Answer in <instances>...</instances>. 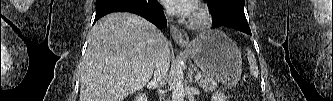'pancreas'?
I'll return each instance as SVG.
<instances>
[{
	"label": "pancreas",
	"mask_w": 333,
	"mask_h": 101,
	"mask_svg": "<svg viewBox=\"0 0 333 101\" xmlns=\"http://www.w3.org/2000/svg\"><path fill=\"white\" fill-rule=\"evenodd\" d=\"M216 81H214L210 76L203 75L200 81V87L206 91L210 92L216 88Z\"/></svg>",
	"instance_id": "1"
}]
</instances>
